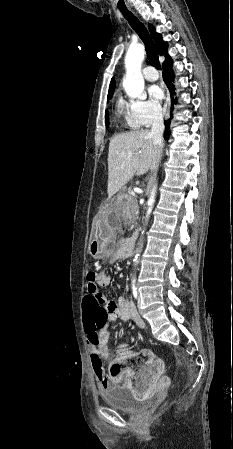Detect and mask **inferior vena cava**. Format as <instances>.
Returning <instances> with one entry per match:
<instances>
[{"instance_id": "obj_1", "label": "inferior vena cava", "mask_w": 233, "mask_h": 449, "mask_svg": "<svg viewBox=\"0 0 233 449\" xmlns=\"http://www.w3.org/2000/svg\"><path fill=\"white\" fill-rule=\"evenodd\" d=\"M163 132H164V123H163V115L161 110H157L154 113L152 128L150 131V135L153 139V144L158 147L163 146Z\"/></svg>"}]
</instances>
